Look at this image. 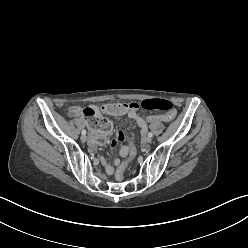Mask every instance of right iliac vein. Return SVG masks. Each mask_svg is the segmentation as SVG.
<instances>
[{
  "mask_svg": "<svg viewBox=\"0 0 248 248\" xmlns=\"http://www.w3.org/2000/svg\"><path fill=\"white\" fill-rule=\"evenodd\" d=\"M81 141H82L83 143H85V142L87 141V137H86L85 135H82V136H81Z\"/></svg>",
  "mask_w": 248,
  "mask_h": 248,
  "instance_id": "63e3f726",
  "label": "right iliac vein"
}]
</instances>
